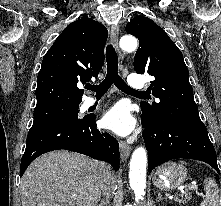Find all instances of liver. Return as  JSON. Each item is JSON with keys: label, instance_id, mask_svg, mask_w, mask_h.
Masks as SVG:
<instances>
[{"label": "liver", "instance_id": "6515ba94", "mask_svg": "<svg viewBox=\"0 0 221 206\" xmlns=\"http://www.w3.org/2000/svg\"><path fill=\"white\" fill-rule=\"evenodd\" d=\"M105 164L69 151L38 157L20 185L22 206H96Z\"/></svg>", "mask_w": 221, "mask_h": 206}]
</instances>
